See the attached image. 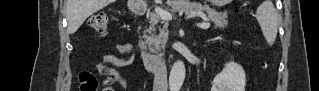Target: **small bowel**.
Here are the masks:
<instances>
[{
    "instance_id": "small-bowel-1",
    "label": "small bowel",
    "mask_w": 319,
    "mask_h": 91,
    "mask_svg": "<svg viewBox=\"0 0 319 91\" xmlns=\"http://www.w3.org/2000/svg\"><path fill=\"white\" fill-rule=\"evenodd\" d=\"M114 48L122 53L124 57H115L109 54L102 56V62L96 65L98 72L108 75L114 79L121 87L124 89L127 88L126 78L120 74L116 68H125L130 66L132 63V53L129 46L125 43L117 42L114 44ZM106 64L112 65V67L107 66Z\"/></svg>"
}]
</instances>
